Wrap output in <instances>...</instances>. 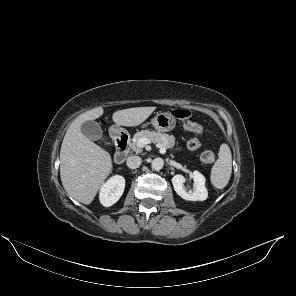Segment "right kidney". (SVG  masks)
Here are the masks:
<instances>
[{
  "instance_id": "obj_1",
  "label": "right kidney",
  "mask_w": 296,
  "mask_h": 296,
  "mask_svg": "<svg viewBox=\"0 0 296 296\" xmlns=\"http://www.w3.org/2000/svg\"><path fill=\"white\" fill-rule=\"evenodd\" d=\"M125 179L120 175L111 177L100 189L99 199L103 206L110 207L122 196Z\"/></svg>"
}]
</instances>
